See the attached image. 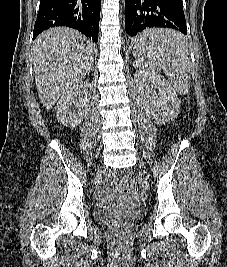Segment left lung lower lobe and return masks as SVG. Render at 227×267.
<instances>
[{"label": "left lung lower lobe", "mask_w": 227, "mask_h": 267, "mask_svg": "<svg viewBox=\"0 0 227 267\" xmlns=\"http://www.w3.org/2000/svg\"><path fill=\"white\" fill-rule=\"evenodd\" d=\"M153 27L172 28L187 35L182 0H125V29L130 37Z\"/></svg>", "instance_id": "1"}]
</instances>
